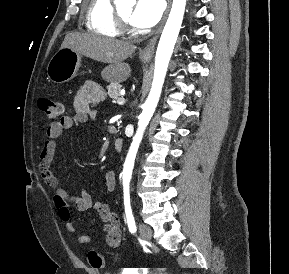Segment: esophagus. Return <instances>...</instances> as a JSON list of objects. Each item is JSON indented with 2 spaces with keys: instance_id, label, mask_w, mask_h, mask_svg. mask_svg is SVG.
<instances>
[{
  "instance_id": "34e87169",
  "label": "esophagus",
  "mask_w": 289,
  "mask_h": 274,
  "mask_svg": "<svg viewBox=\"0 0 289 274\" xmlns=\"http://www.w3.org/2000/svg\"><path fill=\"white\" fill-rule=\"evenodd\" d=\"M170 6H171V0H167V10H166L165 15H164V17L162 19V23H161L160 27L156 30V32L154 33L152 38L148 41V43L146 44L144 49L141 51V55H143V56H151V55H153L157 39H158L159 34H160L161 30H162L163 24H164V22H165V20L167 18Z\"/></svg>"
}]
</instances>
